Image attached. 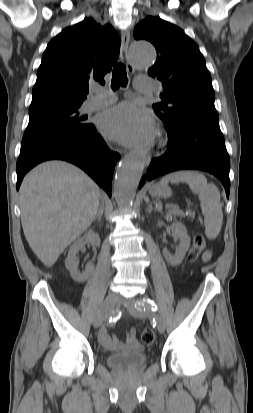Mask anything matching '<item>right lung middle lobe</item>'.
Here are the masks:
<instances>
[{
    "label": "right lung middle lobe",
    "instance_id": "obj_1",
    "mask_svg": "<svg viewBox=\"0 0 253 413\" xmlns=\"http://www.w3.org/2000/svg\"><path fill=\"white\" fill-rule=\"evenodd\" d=\"M79 107L52 108L30 112L29 124L25 130L21 146L52 137L86 131L91 124L85 122L86 116L79 115Z\"/></svg>",
    "mask_w": 253,
    "mask_h": 413
}]
</instances>
